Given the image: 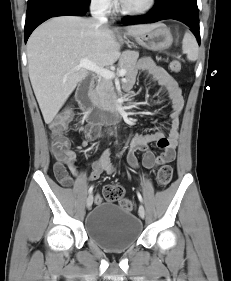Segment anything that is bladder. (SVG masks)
Instances as JSON below:
<instances>
[{"label": "bladder", "instance_id": "bladder-1", "mask_svg": "<svg viewBox=\"0 0 231 281\" xmlns=\"http://www.w3.org/2000/svg\"><path fill=\"white\" fill-rule=\"evenodd\" d=\"M142 230V223L135 215L110 202L97 205L85 219L88 238L112 252L124 251L133 246Z\"/></svg>", "mask_w": 231, "mask_h": 281}]
</instances>
